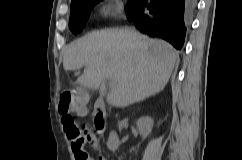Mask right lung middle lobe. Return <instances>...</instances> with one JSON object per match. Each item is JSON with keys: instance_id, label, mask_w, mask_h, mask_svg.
<instances>
[{"instance_id": "right-lung-middle-lobe-1", "label": "right lung middle lobe", "mask_w": 242, "mask_h": 160, "mask_svg": "<svg viewBox=\"0 0 242 160\" xmlns=\"http://www.w3.org/2000/svg\"><path fill=\"white\" fill-rule=\"evenodd\" d=\"M100 0H79L71 3V15H70V29L74 34L80 33L87 21L90 10ZM134 1L128 2L126 10H128Z\"/></svg>"}]
</instances>
